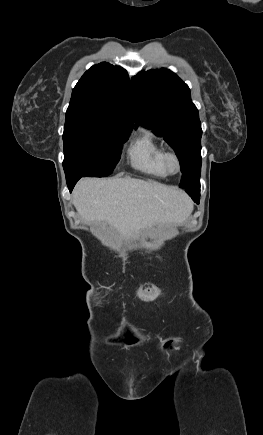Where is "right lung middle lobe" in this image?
Listing matches in <instances>:
<instances>
[{
  "label": "right lung middle lobe",
  "mask_w": 263,
  "mask_h": 435,
  "mask_svg": "<svg viewBox=\"0 0 263 435\" xmlns=\"http://www.w3.org/2000/svg\"><path fill=\"white\" fill-rule=\"evenodd\" d=\"M130 132L84 113L66 115L63 133L66 180L110 175Z\"/></svg>",
  "instance_id": "dd1d6c3e"
}]
</instances>
